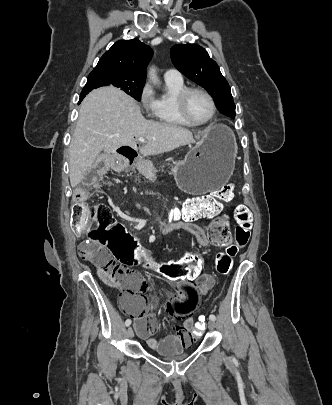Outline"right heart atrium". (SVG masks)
<instances>
[{
    "instance_id": "d8ad5b80",
    "label": "right heart atrium",
    "mask_w": 332,
    "mask_h": 405,
    "mask_svg": "<svg viewBox=\"0 0 332 405\" xmlns=\"http://www.w3.org/2000/svg\"><path fill=\"white\" fill-rule=\"evenodd\" d=\"M139 101L147 113L152 114L155 108V97L149 84H145L140 91Z\"/></svg>"
}]
</instances>
